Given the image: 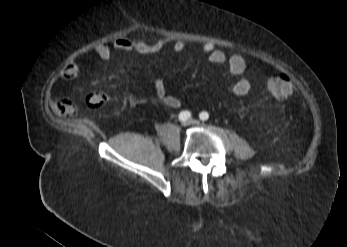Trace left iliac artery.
<instances>
[{"instance_id": "44dca946", "label": "left iliac artery", "mask_w": 347, "mask_h": 247, "mask_svg": "<svg viewBox=\"0 0 347 247\" xmlns=\"http://www.w3.org/2000/svg\"><path fill=\"white\" fill-rule=\"evenodd\" d=\"M199 117L202 121H206L209 118V114L207 112L203 111L199 114Z\"/></svg>"}]
</instances>
